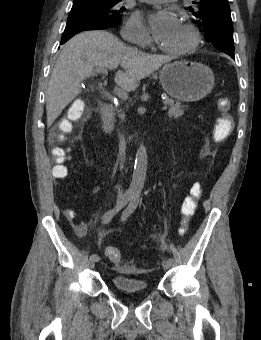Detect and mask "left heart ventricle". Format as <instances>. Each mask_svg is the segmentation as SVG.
<instances>
[{
	"instance_id": "b2bd125f",
	"label": "left heart ventricle",
	"mask_w": 261,
	"mask_h": 340,
	"mask_svg": "<svg viewBox=\"0 0 261 340\" xmlns=\"http://www.w3.org/2000/svg\"><path fill=\"white\" fill-rule=\"evenodd\" d=\"M191 41L190 34L183 25L180 26L178 31L171 36L167 41L162 43L167 48H182L187 46Z\"/></svg>"
}]
</instances>
